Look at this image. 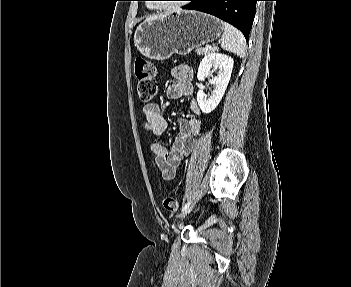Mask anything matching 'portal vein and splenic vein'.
<instances>
[{
	"mask_svg": "<svg viewBox=\"0 0 351 287\" xmlns=\"http://www.w3.org/2000/svg\"><path fill=\"white\" fill-rule=\"evenodd\" d=\"M204 50H205V51H208V47H205Z\"/></svg>",
	"mask_w": 351,
	"mask_h": 287,
	"instance_id": "1",
	"label": "portal vein and splenic vein"
}]
</instances>
